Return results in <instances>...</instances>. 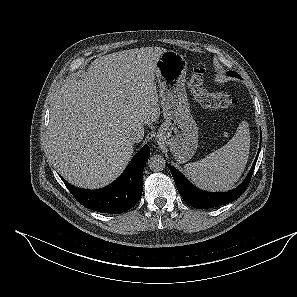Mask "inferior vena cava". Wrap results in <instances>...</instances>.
<instances>
[{"label": "inferior vena cava", "mask_w": 297, "mask_h": 297, "mask_svg": "<svg viewBox=\"0 0 297 297\" xmlns=\"http://www.w3.org/2000/svg\"><path fill=\"white\" fill-rule=\"evenodd\" d=\"M142 135L138 132H131L129 133L127 140L133 144V143H139L142 140Z\"/></svg>", "instance_id": "inferior-vena-cava-1"}]
</instances>
